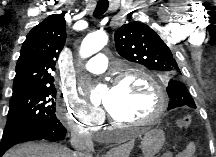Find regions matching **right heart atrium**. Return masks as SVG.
I'll return each instance as SVG.
<instances>
[{
	"mask_svg": "<svg viewBox=\"0 0 216 157\" xmlns=\"http://www.w3.org/2000/svg\"><path fill=\"white\" fill-rule=\"evenodd\" d=\"M56 114L65 126L79 134H92L104 122L100 109L91 107L73 92H68L59 101Z\"/></svg>",
	"mask_w": 216,
	"mask_h": 157,
	"instance_id": "obj_1",
	"label": "right heart atrium"
}]
</instances>
